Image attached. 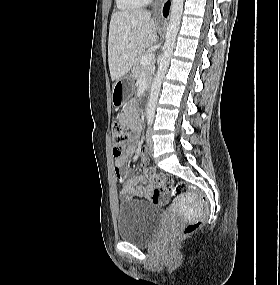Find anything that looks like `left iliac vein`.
<instances>
[{"instance_id":"obj_1","label":"left iliac vein","mask_w":280,"mask_h":285,"mask_svg":"<svg viewBox=\"0 0 280 285\" xmlns=\"http://www.w3.org/2000/svg\"><path fill=\"white\" fill-rule=\"evenodd\" d=\"M146 137H147L148 149H149L150 151H153L154 144H153V139H152V132H151L150 129L147 131Z\"/></svg>"}]
</instances>
